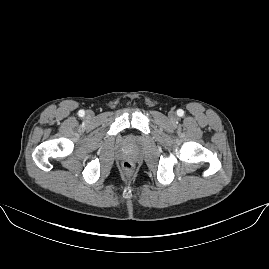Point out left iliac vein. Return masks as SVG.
<instances>
[{"mask_svg":"<svg viewBox=\"0 0 269 269\" xmlns=\"http://www.w3.org/2000/svg\"><path fill=\"white\" fill-rule=\"evenodd\" d=\"M175 118H176V114L174 112H171L169 115V119L173 121L175 120Z\"/></svg>","mask_w":269,"mask_h":269,"instance_id":"1","label":"left iliac vein"}]
</instances>
